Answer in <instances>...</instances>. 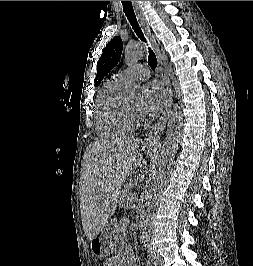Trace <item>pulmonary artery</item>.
Wrapping results in <instances>:
<instances>
[{
	"instance_id": "1",
	"label": "pulmonary artery",
	"mask_w": 253,
	"mask_h": 266,
	"mask_svg": "<svg viewBox=\"0 0 253 266\" xmlns=\"http://www.w3.org/2000/svg\"><path fill=\"white\" fill-rule=\"evenodd\" d=\"M149 76H150V71L145 65L136 64L125 70L120 71L117 74L116 78L122 83H125L133 79L144 80V79H147Z\"/></svg>"
}]
</instances>
